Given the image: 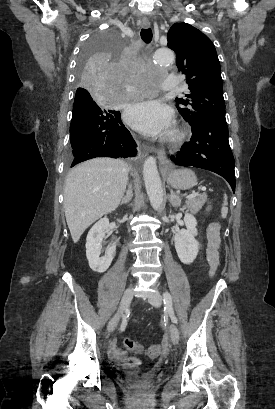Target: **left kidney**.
<instances>
[{"instance_id":"left-kidney-1","label":"left kidney","mask_w":275,"mask_h":409,"mask_svg":"<svg viewBox=\"0 0 275 409\" xmlns=\"http://www.w3.org/2000/svg\"><path fill=\"white\" fill-rule=\"evenodd\" d=\"M184 223L186 229L175 233L174 243L180 261L184 265H191L199 253V243L195 239L197 235V221L193 215L187 213L184 217Z\"/></svg>"}]
</instances>
